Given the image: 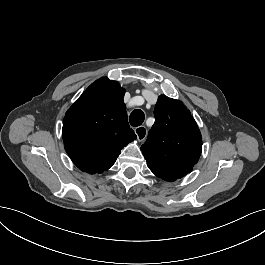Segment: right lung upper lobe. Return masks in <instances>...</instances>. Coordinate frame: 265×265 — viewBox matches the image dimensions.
Wrapping results in <instances>:
<instances>
[{
	"label": "right lung upper lobe",
	"instance_id": "cb5924a9",
	"mask_svg": "<svg viewBox=\"0 0 265 265\" xmlns=\"http://www.w3.org/2000/svg\"><path fill=\"white\" fill-rule=\"evenodd\" d=\"M124 93L118 82L103 77L66 112L64 147L80 170L89 174L107 171L121 149L137 138L127 121Z\"/></svg>",
	"mask_w": 265,
	"mask_h": 265
}]
</instances>
